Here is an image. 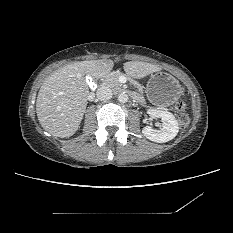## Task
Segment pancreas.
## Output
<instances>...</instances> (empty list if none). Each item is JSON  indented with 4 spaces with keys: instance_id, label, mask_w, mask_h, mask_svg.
I'll list each match as a JSON object with an SVG mask.
<instances>
[{
    "instance_id": "1",
    "label": "pancreas",
    "mask_w": 233,
    "mask_h": 233,
    "mask_svg": "<svg viewBox=\"0 0 233 233\" xmlns=\"http://www.w3.org/2000/svg\"><path fill=\"white\" fill-rule=\"evenodd\" d=\"M120 72H111L105 76L104 82L111 88L119 89L122 84L119 82ZM138 89L141 91V87L138 85Z\"/></svg>"
}]
</instances>
